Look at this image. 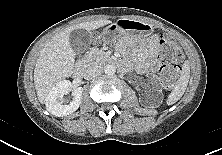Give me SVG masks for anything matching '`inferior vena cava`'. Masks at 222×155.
I'll list each match as a JSON object with an SVG mask.
<instances>
[{"mask_svg":"<svg viewBox=\"0 0 222 155\" xmlns=\"http://www.w3.org/2000/svg\"><path fill=\"white\" fill-rule=\"evenodd\" d=\"M103 72V68L98 64H89L83 71V77L85 79H92Z\"/></svg>","mask_w":222,"mask_h":155,"instance_id":"obj_1","label":"inferior vena cava"}]
</instances>
